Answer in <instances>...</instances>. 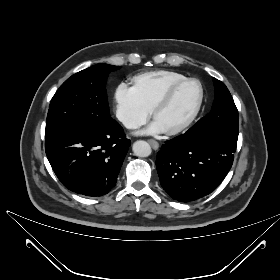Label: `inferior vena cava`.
I'll list each match as a JSON object with an SVG mask.
<instances>
[{
    "instance_id": "1",
    "label": "inferior vena cava",
    "mask_w": 280,
    "mask_h": 280,
    "mask_svg": "<svg viewBox=\"0 0 280 280\" xmlns=\"http://www.w3.org/2000/svg\"><path fill=\"white\" fill-rule=\"evenodd\" d=\"M121 122L129 129H136L140 126L137 121L128 116L121 117Z\"/></svg>"
}]
</instances>
